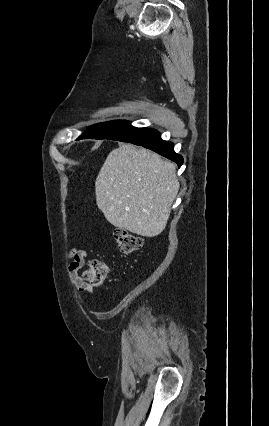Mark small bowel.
<instances>
[{"label": "small bowel", "instance_id": "obj_1", "mask_svg": "<svg viewBox=\"0 0 269 426\" xmlns=\"http://www.w3.org/2000/svg\"><path fill=\"white\" fill-rule=\"evenodd\" d=\"M88 253L80 248H72L68 253V273L70 280L76 287L77 291L86 295L93 293L94 287L87 283L80 275L79 271L85 265Z\"/></svg>", "mask_w": 269, "mask_h": 426}]
</instances>
